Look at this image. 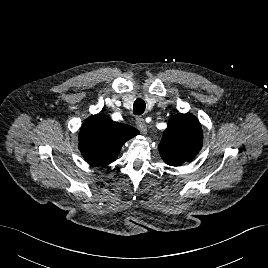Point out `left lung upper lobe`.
<instances>
[{"label": "left lung upper lobe", "mask_w": 268, "mask_h": 268, "mask_svg": "<svg viewBox=\"0 0 268 268\" xmlns=\"http://www.w3.org/2000/svg\"><path fill=\"white\" fill-rule=\"evenodd\" d=\"M202 128L191 114H176L169 119L161 143L158 146L165 163L179 166L190 162L201 150Z\"/></svg>", "instance_id": "obj_1"}]
</instances>
